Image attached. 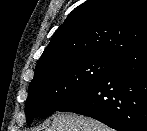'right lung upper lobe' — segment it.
Returning a JSON list of instances; mask_svg holds the SVG:
<instances>
[{"label":"right lung upper lobe","mask_w":147,"mask_h":131,"mask_svg":"<svg viewBox=\"0 0 147 131\" xmlns=\"http://www.w3.org/2000/svg\"><path fill=\"white\" fill-rule=\"evenodd\" d=\"M145 42L146 0H87L56 30L35 75L91 57L117 61Z\"/></svg>","instance_id":"right-lung-upper-lobe-1"}]
</instances>
